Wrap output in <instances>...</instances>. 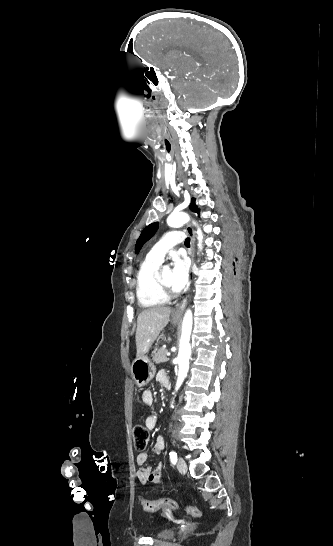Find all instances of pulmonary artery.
<instances>
[{
  "mask_svg": "<svg viewBox=\"0 0 333 546\" xmlns=\"http://www.w3.org/2000/svg\"><path fill=\"white\" fill-rule=\"evenodd\" d=\"M184 233L181 231L167 232L149 251L147 258L157 262H162L165 254L176 244L182 243Z\"/></svg>",
  "mask_w": 333,
  "mask_h": 546,
  "instance_id": "e3ab8cb5",
  "label": "pulmonary artery"
}]
</instances>
